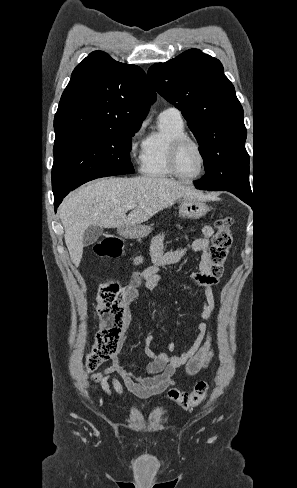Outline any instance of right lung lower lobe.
Wrapping results in <instances>:
<instances>
[{"label":"right lung lower lobe","instance_id":"98d812e1","mask_svg":"<svg viewBox=\"0 0 297 488\" xmlns=\"http://www.w3.org/2000/svg\"><path fill=\"white\" fill-rule=\"evenodd\" d=\"M66 195H62L60 197H57L54 199V206H55V209L58 208V206L60 205V203L62 202L63 198L65 197Z\"/></svg>","mask_w":297,"mask_h":488}]
</instances>
